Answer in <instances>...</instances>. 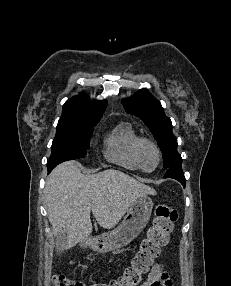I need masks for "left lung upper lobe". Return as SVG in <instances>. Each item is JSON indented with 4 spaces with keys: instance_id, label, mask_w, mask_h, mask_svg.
<instances>
[{
    "instance_id": "1",
    "label": "left lung upper lobe",
    "mask_w": 231,
    "mask_h": 286,
    "mask_svg": "<svg viewBox=\"0 0 231 286\" xmlns=\"http://www.w3.org/2000/svg\"><path fill=\"white\" fill-rule=\"evenodd\" d=\"M125 110L138 116L153 133L163 154L164 167L182 162L177 152V139L172 133L171 120L165 116L160 102L147 90L141 89L131 98L122 99Z\"/></svg>"
}]
</instances>
